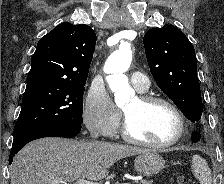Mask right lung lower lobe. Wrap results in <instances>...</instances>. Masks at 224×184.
Wrapping results in <instances>:
<instances>
[{
  "mask_svg": "<svg viewBox=\"0 0 224 184\" xmlns=\"http://www.w3.org/2000/svg\"><path fill=\"white\" fill-rule=\"evenodd\" d=\"M81 131V125L70 124H43L23 130L14 136L13 145L9 156V164L12 163L15 154L28 142L43 137L76 136Z\"/></svg>",
  "mask_w": 224,
  "mask_h": 184,
  "instance_id": "right-lung-lower-lobe-1",
  "label": "right lung lower lobe"
}]
</instances>
